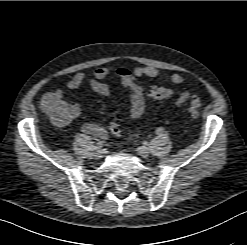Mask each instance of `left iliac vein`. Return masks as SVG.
<instances>
[{
	"mask_svg": "<svg viewBox=\"0 0 247 245\" xmlns=\"http://www.w3.org/2000/svg\"><path fill=\"white\" fill-rule=\"evenodd\" d=\"M137 153H138L140 156L146 158V157L149 156V153H150V152H149V149H148L146 146H140V147L137 148Z\"/></svg>",
	"mask_w": 247,
	"mask_h": 245,
	"instance_id": "1",
	"label": "left iliac vein"
}]
</instances>
